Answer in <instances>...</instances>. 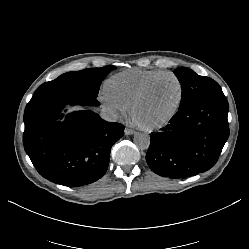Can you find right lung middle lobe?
I'll use <instances>...</instances> for the list:
<instances>
[{
	"label": "right lung middle lobe",
	"mask_w": 249,
	"mask_h": 249,
	"mask_svg": "<svg viewBox=\"0 0 249 249\" xmlns=\"http://www.w3.org/2000/svg\"><path fill=\"white\" fill-rule=\"evenodd\" d=\"M116 69L113 65L101 68H87L81 71H73L62 74L53 81L40 85L34 94L50 90H80L86 96L95 99L99 93L101 82L105 76Z\"/></svg>",
	"instance_id": "1"
}]
</instances>
